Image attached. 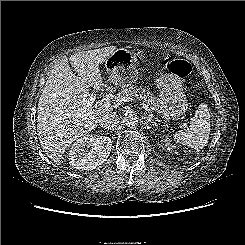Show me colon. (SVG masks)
I'll return each instance as SVG.
<instances>
[{"label":"colon","instance_id":"colon-1","mask_svg":"<svg viewBox=\"0 0 245 245\" xmlns=\"http://www.w3.org/2000/svg\"><path fill=\"white\" fill-rule=\"evenodd\" d=\"M165 67L180 78H186L190 75L192 68L190 64L184 60L177 58L165 59Z\"/></svg>","mask_w":245,"mask_h":245}]
</instances>
